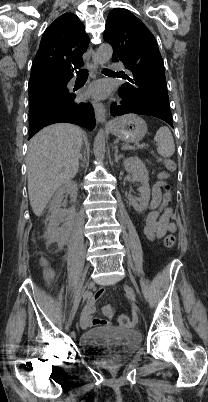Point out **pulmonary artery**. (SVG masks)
I'll return each mask as SVG.
<instances>
[{
  "label": "pulmonary artery",
  "mask_w": 208,
  "mask_h": 402,
  "mask_svg": "<svg viewBox=\"0 0 208 402\" xmlns=\"http://www.w3.org/2000/svg\"><path fill=\"white\" fill-rule=\"evenodd\" d=\"M122 67H121V65L120 64H114L113 65V70L114 71H117L118 73H121L122 72V69H121Z\"/></svg>",
  "instance_id": "pulmonary-artery-1"
}]
</instances>
